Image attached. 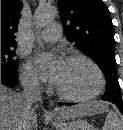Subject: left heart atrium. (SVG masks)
Instances as JSON below:
<instances>
[{"instance_id": "left-heart-atrium-1", "label": "left heart atrium", "mask_w": 123, "mask_h": 130, "mask_svg": "<svg viewBox=\"0 0 123 130\" xmlns=\"http://www.w3.org/2000/svg\"><path fill=\"white\" fill-rule=\"evenodd\" d=\"M63 62L60 57L48 54H40L34 59L37 70L53 83L62 68Z\"/></svg>"}]
</instances>
